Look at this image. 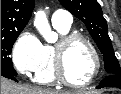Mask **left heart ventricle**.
I'll list each match as a JSON object with an SVG mask.
<instances>
[{"label":"left heart ventricle","instance_id":"left-heart-ventricle-1","mask_svg":"<svg viewBox=\"0 0 121 94\" xmlns=\"http://www.w3.org/2000/svg\"><path fill=\"white\" fill-rule=\"evenodd\" d=\"M65 69L75 83L88 81L94 73L95 63L89 48L82 42H73L66 50Z\"/></svg>","mask_w":121,"mask_h":94}]
</instances>
